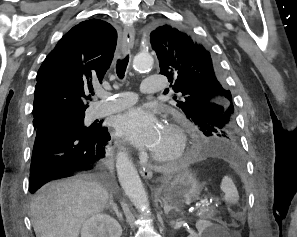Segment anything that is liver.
Here are the masks:
<instances>
[{
	"label": "liver",
	"instance_id": "obj_1",
	"mask_svg": "<svg viewBox=\"0 0 297 237\" xmlns=\"http://www.w3.org/2000/svg\"><path fill=\"white\" fill-rule=\"evenodd\" d=\"M108 199V190L90 176L45 185L30 202L36 237H78L82 225L102 212Z\"/></svg>",
	"mask_w": 297,
	"mask_h": 237
}]
</instances>
